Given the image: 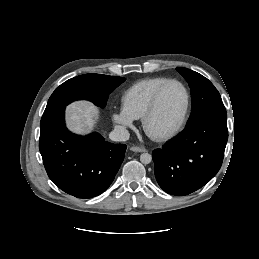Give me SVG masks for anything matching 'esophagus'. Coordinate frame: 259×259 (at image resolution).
Wrapping results in <instances>:
<instances>
[{
  "label": "esophagus",
  "instance_id": "obj_1",
  "mask_svg": "<svg viewBox=\"0 0 259 259\" xmlns=\"http://www.w3.org/2000/svg\"><path fill=\"white\" fill-rule=\"evenodd\" d=\"M130 150L133 152H146L147 150L143 147L132 146Z\"/></svg>",
  "mask_w": 259,
  "mask_h": 259
}]
</instances>
